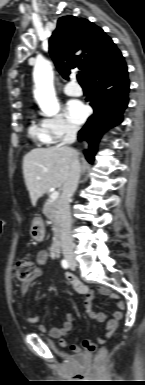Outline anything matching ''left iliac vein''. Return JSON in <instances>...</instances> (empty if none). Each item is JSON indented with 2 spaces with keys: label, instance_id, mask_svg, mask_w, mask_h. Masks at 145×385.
<instances>
[{
  "label": "left iliac vein",
  "instance_id": "obj_1",
  "mask_svg": "<svg viewBox=\"0 0 145 385\" xmlns=\"http://www.w3.org/2000/svg\"><path fill=\"white\" fill-rule=\"evenodd\" d=\"M71 269H73V270H74V266H71Z\"/></svg>",
  "mask_w": 145,
  "mask_h": 385
}]
</instances>
